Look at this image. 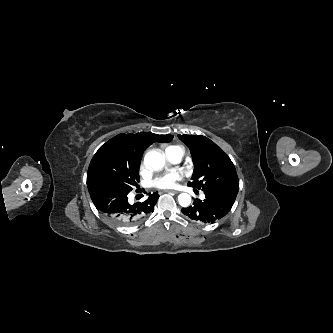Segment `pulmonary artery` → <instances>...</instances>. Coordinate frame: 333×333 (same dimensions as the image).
Returning a JSON list of instances; mask_svg holds the SVG:
<instances>
[{
	"label": "pulmonary artery",
	"mask_w": 333,
	"mask_h": 333,
	"mask_svg": "<svg viewBox=\"0 0 333 333\" xmlns=\"http://www.w3.org/2000/svg\"><path fill=\"white\" fill-rule=\"evenodd\" d=\"M183 155H184V152L181 149H175V150L166 152V156H167L168 160L175 164L181 162ZM201 197L204 198L205 196L202 195Z\"/></svg>",
	"instance_id": "1"
}]
</instances>
